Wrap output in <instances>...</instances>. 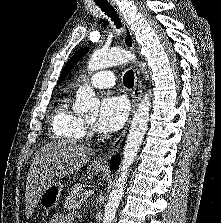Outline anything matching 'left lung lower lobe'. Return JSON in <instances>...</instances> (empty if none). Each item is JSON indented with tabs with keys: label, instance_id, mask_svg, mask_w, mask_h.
I'll return each mask as SVG.
<instances>
[{
	"label": "left lung lower lobe",
	"instance_id": "0a47b994",
	"mask_svg": "<svg viewBox=\"0 0 221 223\" xmlns=\"http://www.w3.org/2000/svg\"><path fill=\"white\" fill-rule=\"evenodd\" d=\"M119 162H120V158H119V155L117 156H114L110 162L111 164V168L113 170H117L118 169V166H119Z\"/></svg>",
	"mask_w": 221,
	"mask_h": 223
}]
</instances>
